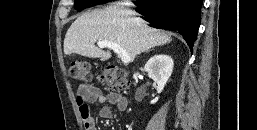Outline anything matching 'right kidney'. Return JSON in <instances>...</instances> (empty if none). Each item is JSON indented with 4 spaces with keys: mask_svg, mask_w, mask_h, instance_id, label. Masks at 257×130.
Here are the masks:
<instances>
[{
    "mask_svg": "<svg viewBox=\"0 0 257 130\" xmlns=\"http://www.w3.org/2000/svg\"><path fill=\"white\" fill-rule=\"evenodd\" d=\"M173 59L165 54H158L151 57L145 64V71L157 84V92L161 93L173 71ZM158 97L151 100V104L158 101Z\"/></svg>",
    "mask_w": 257,
    "mask_h": 130,
    "instance_id": "obj_1",
    "label": "right kidney"
}]
</instances>
